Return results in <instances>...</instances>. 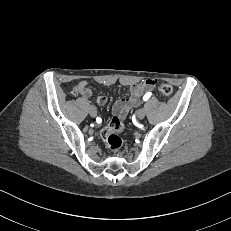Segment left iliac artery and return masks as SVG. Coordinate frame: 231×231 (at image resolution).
<instances>
[{
	"mask_svg": "<svg viewBox=\"0 0 231 231\" xmlns=\"http://www.w3.org/2000/svg\"><path fill=\"white\" fill-rule=\"evenodd\" d=\"M151 95H152L151 92H147L143 97L144 101L148 100L151 97Z\"/></svg>",
	"mask_w": 231,
	"mask_h": 231,
	"instance_id": "44dca946",
	"label": "left iliac artery"
}]
</instances>
